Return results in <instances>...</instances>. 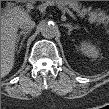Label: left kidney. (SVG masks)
I'll use <instances>...</instances> for the list:
<instances>
[{
    "label": "left kidney",
    "instance_id": "5707ae66",
    "mask_svg": "<svg viewBox=\"0 0 109 109\" xmlns=\"http://www.w3.org/2000/svg\"><path fill=\"white\" fill-rule=\"evenodd\" d=\"M80 50L88 57L97 58L99 55L98 48L89 41H83Z\"/></svg>",
    "mask_w": 109,
    "mask_h": 109
}]
</instances>
